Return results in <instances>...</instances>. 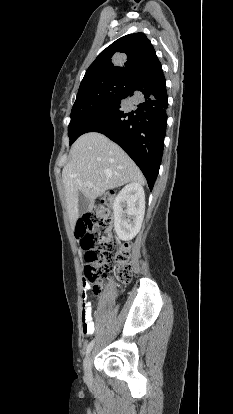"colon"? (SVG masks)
Masks as SVG:
<instances>
[{
  "label": "colon",
  "instance_id": "5ec220e1",
  "mask_svg": "<svg viewBox=\"0 0 233 414\" xmlns=\"http://www.w3.org/2000/svg\"><path fill=\"white\" fill-rule=\"evenodd\" d=\"M111 202V193L101 197L95 210L81 218L76 227L77 238L86 251L84 277L89 278L95 294L100 292V282L107 277L113 259L119 264V282L124 285L132 278L130 244L116 242L111 231Z\"/></svg>",
  "mask_w": 233,
  "mask_h": 414
}]
</instances>
